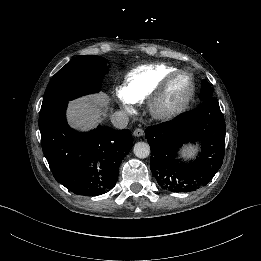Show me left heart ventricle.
<instances>
[{"instance_id":"left-heart-ventricle-1","label":"left heart ventricle","mask_w":261,"mask_h":261,"mask_svg":"<svg viewBox=\"0 0 261 261\" xmlns=\"http://www.w3.org/2000/svg\"><path fill=\"white\" fill-rule=\"evenodd\" d=\"M189 91V86L185 78H178L171 90L168 103L170 105L179 103L186 97Z\"/></svg>"}]
</instances>
